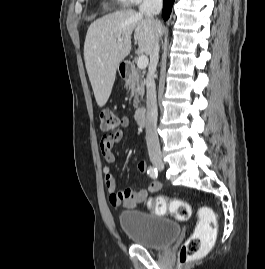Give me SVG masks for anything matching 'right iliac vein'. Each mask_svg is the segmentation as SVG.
Segmentation results:
<instances>
[{
  "mask_svg": "<svg viewBox=\"0 0 265 269\" xmlns=\"http://www.w3.org/2000/svg\"><path fill=\"white\" fill-rule=\"evenodd\" d=\"M153 165L158 169L164 168V164H163L162 160H154Z\"/></svg>",
  "mask_w": 265,
  "mask_h": 269,
  "instance_id": "1",
  "label": "right iliac vein"
}]
</instances>
